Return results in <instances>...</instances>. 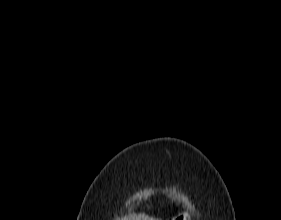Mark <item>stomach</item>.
Segmentation results:
<instances>
[{"label":"stomach","mask_w":281,"mask_h":220,"mask_svg":"<svg viewBox=\"0 0 281 220\" xmlns=\"http://www.w3.org/2000/svg\"><path fill=\"white\" fill-rule=\"evenodd\" d=\"M177 220H190V216L186 213H183L177 217Z\"/></svg>","instance_id":"stomach-1"}]
</instances>
